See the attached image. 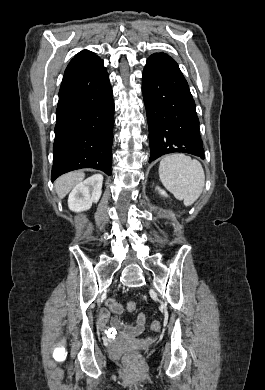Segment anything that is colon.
Listing matches in <instances>:
<instances>
[{"label": "colon", "instance_id": "obj_1", "mask_svg": "<svg viewBox=\"0 0 265 390\" xmlns=\"http://www.w3.org/2000/svg\"><path fill=\"white\" fill-rule=\"evenodd\" d=\"M106 305L107 307L110 309L111 312L115 313V314H120L122 313L123 311V307L122 305L117 302L115 299L113 298H110L106 301ZM126 308L129 312H134L136 311L137 309V304L134 302V301H129L127 304H126ZM161 328V324L159 321H153L152 324H151V329L153 331H159ZM127 360L129 362H134L137 360V355L134 354V353H131L127 356Z\"/></svg>", "mask_w": 265, "mask_h": 390}]
</instances>
